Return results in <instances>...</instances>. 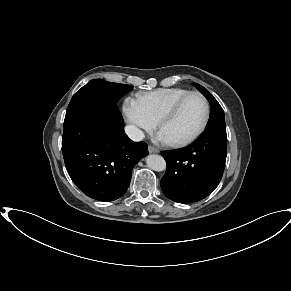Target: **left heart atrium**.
Segmentation results:
<instances>
[{
  "label": "left heart atrium",
  "instance_id": "39dd6f15",
  "mask_svg": "<svg viewBox=\"0 0 291 291\" xmlns=\"http://www.w3.org/2000/svg\"><path fill=\"white\" fill-rule=\"evenodd\" d=\"M157 139L160 142H165V143L168 142V140L166 139V137L161 132L158 134Z\"/></svg>",
  "mask_w": 291,
  "mask_h": 291
}]
</instances>
